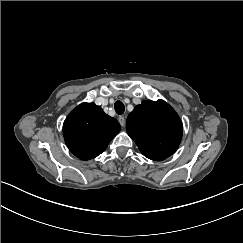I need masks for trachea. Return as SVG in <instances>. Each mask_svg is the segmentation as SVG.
<instances>
[{"label":"trachea","mask_w":243,"mask_h":243,"mask_svg":"<svg viewBox=\"0 0 243 243\" xmlns=\"http://www.w3.org/2000/svg\"><path fill=\"white\" fill-rule=\"evenodd\" d=\"M114 109L118 115H122L125 111V106L122 101L118 100L114 104Z\"/></svg>","instance_id":"trachea-1"}]
</instances>
